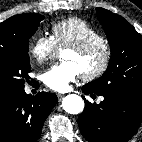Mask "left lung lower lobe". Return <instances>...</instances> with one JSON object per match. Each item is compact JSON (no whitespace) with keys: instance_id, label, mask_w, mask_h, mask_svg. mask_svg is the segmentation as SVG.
<instances>
[{"instance_id":"1","label":"left lung lower lobe","mask_w":142,"mask_h":142,"mask_svg":"<svg viewBox=\"0 0 142 142\" xmlns=\"http://www.w3.org/2000/svg\"><path fill=\"white\" fill-rule=\"evenodd\" d=\"M82 91L97 94L87 86ZM104 100L99 105L85 101L84 111L78 117V125L88 142H127L142 121V98L128 94H97Z\"/></svg>"}]
</instances>
